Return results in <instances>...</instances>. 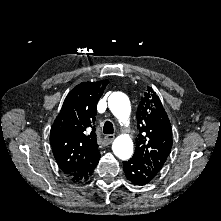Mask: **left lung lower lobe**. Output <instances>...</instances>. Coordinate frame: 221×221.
Returning <instances> with one entry per match:
<instances>
[{"mask_svg": "<svg viewBox=\"0 0 221 221\" xmlns=\"http://www.w3.org/2000/svg\"><path fill=\"white\" fill-rule=\"evenodd\" d=\"M123 170L127 179L135 185L148 184L158 175L133 157L129 161L123 162Z\"/></svg>", "mask_w": 221, "mask_h": 221, "instance_id": "left-lung-lower-lobe-1", "label": "left lung lower lobe"}]
</instances>
